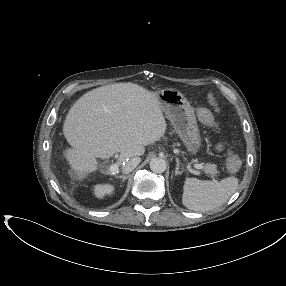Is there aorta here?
<instances>
[{
  "label": "aorta",
  "mask_w": 286,
  "mask_h": 286,
  "mask_svg": "<svg viewBox=\"0 0 286 286\" xmlns=\"http://www.w3.org/2000/svg\"><path fill=\"white\" fill-rule=\"evenodd\" d=\"M167 168V164L166 161L163 158L160 157H156V158H152L150 161V169L154 172V173H163L165 172Z\"/></svg>",
  "instance_id": "aorta-1"
}]
</instances>
